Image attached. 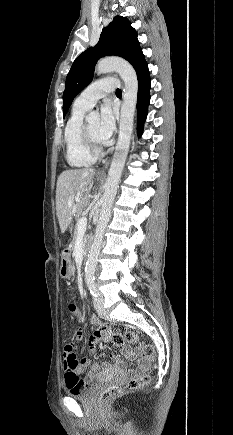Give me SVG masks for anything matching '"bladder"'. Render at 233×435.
Returning a JSON list of instances; mask_svg holds the SVG:
<instances>
[{"instance_id":"31cf9c89","label":"bladder","mask_w":233,"mask_h":435,"mask_svg":"<svg viewBox=\"0 0 233 435\" xmlns=\"http://www.w3.org/2000/svg\"><path fill=\"white\" fill-rule=\"evenodd\" d=\"M99 382H91L87 384L86 388L82 390L81 392L72 393L67 392L68 396L77 400V401H88L91 400L94 395L96 394V390L99 386Z\"/></svg>"}]
</instances>
